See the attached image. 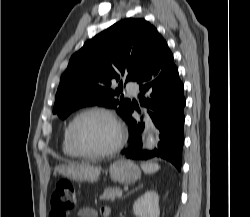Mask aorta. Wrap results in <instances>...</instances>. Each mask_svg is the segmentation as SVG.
<instances>
[{
  "instance_id": "1",
  "label": "aorta",
  "mask_w": 250,
  "mask_h": 217,
  "mask_svg": "<svg viewBox=\"0 0 250 217\" xmlns=\"http://www.w3.org/2000/svg\"><path fill=\"white\" fill-rule=\"evenodd\" d=\"M145 146L149 150H152L156 146V140L152 133L148 134L146 141H145Z\"/></svg>"
}]
</instances>
